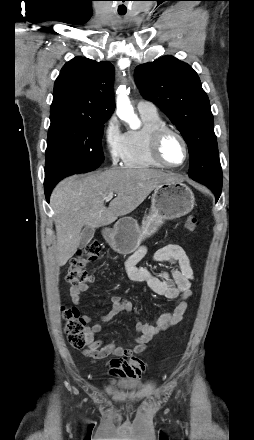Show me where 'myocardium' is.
Segmentation results:
<instances>
[{"instance_id":"myocardium-1","label":"myocardium","mask_w":254,"mask_h":440,"mask_svg":"<svg viewBox=\"0 0 254 440\" xmlns=\"http://www.w3.org/2000/svg\"><path fill=\"white\" fill-rule=\"evenodd\" d=\"M168 135L176 136L181 141V143L183 145L185 155H184V160L180 164H177V165L171 164V163L167 162L162 155V144ZM150 152H151V156L153 157V159L157 163H159L160 165H162L166 168L182 167L187 162V160L189 158V146H188L187 140L185 139V137L183 136V134L181 132H179L178 130H176L172 127H169V126H163L153 132V134L151 136V141H150Z\"/></svg>"}]
</instances>
